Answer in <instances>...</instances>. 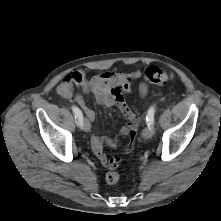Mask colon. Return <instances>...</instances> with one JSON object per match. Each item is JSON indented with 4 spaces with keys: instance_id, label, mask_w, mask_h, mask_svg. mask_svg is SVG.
I'll return each mask as SVG.
<instances>
[{
    "instance_id": "5ec220e1",
    "label": "colon",
    "mask_w": 221,
    "mask_h": 221,
    "mask_svg": "<svg viewBox=\"0 0 221 221\" xmlns=\"http://www.w3.org/2000/svg\"><path fill=\"white\" fill-rule=\"evenodd\" d=\"M173 74L163 68L157 67V66H151L146 69L145 72V80L151 84L155 85H163L169 80L173 79ZM130 90V87L127 83H124L116 92L115 94V101L121 112L124 114L126 117H130V109L127 106L125 99H124V94L127 93ZM138 117L134 119V122L129 129L128 135H129V144L127 146V150H130L132 148V145L134 143L135 137H136V130L138 127ZM119 163V158L115 157L109 160V167H108V172L105 175V180L107 184L109 185H114L116 184L119 179L120 175L119 173L115 170L118 166Z\"/></svg>"
}]
</instances>
